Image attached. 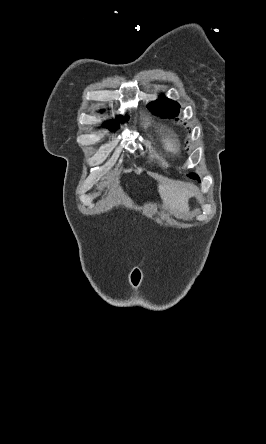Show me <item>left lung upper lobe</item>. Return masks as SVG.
<instances>
[{"label":"left lung upper lobe","mask_w":266,"mask_h":444,"mask_svg":"<svg viewBox=\"0 0 266 444\" xmlns=\"http://www.w3.org/2000/svg\"><path fill=\"white\" fill-rule=\"evenodd\" d=\"M148 108L155 114L162 118H174L179 114L180 105L164 96H161L157 101L151 102ZM191 178H196L195 174L189 175Z\"/></svg>","instance_id":"obj_1"}]
</instances>
